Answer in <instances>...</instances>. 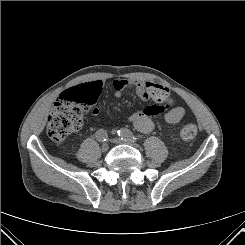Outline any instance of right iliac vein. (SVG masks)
<instances>
[{"instance_id":"obj_1","label":"right iliac vein","mask_w":245,"mask_h":245,"mask_svg":"<svg viewBox=\"0 0 245 245\" xmlns=\"http://www.w3.org/2000/svg\"><path fill=\"white\" fill-rule=\"evenodd\" d=\"M101 149H102L103 152H107L108 149H109L108 143H103L102 146H101Z\"/></svg>"}]
</instances>
